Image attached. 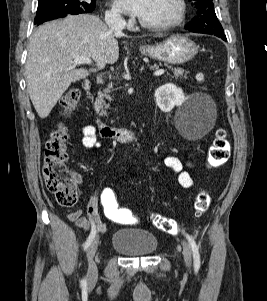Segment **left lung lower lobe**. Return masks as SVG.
<instances>
[{"label":"left lung lower lobe","mask_w":267,"mask_h":301,"mask_svg":"<svg viewBox=\"0 0 267 301\" xmlns=\"http://www.w3.org/2000/svg\"><path fill=\"white\" fill-rule=\"evenodd\" d=\"M216 36L220 37V38L223 39L224 41H227L226 36H225L224 34H223V35H216Z\"/></svg>","instance_id":"obj_1"}]
</instances>
